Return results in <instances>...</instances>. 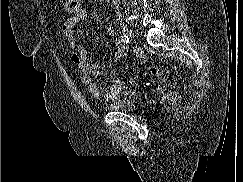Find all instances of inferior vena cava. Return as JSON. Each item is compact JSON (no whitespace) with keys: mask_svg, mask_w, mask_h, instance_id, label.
I'll return each mask as SVG.
<instances>
[{"mask_svg":"<svg viewBox=\"0 0 243 182\" xmlns=\"http://www.w3.org/2000/svg\"><path fill=\"white\" fill-rule=\"evenodd\" d=\"M113 1V4L116 6V8H118V1L119 0H112Z\"/></svg>","mask_w":243,"mask_h":182,"instance_id":"602c4592","label":"inferior vena cava"}]
</instances>
